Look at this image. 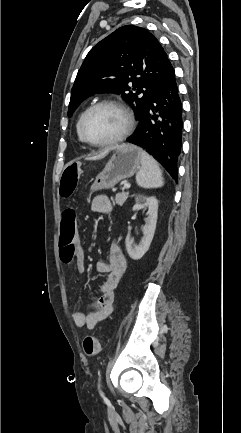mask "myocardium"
<instances>
[{
    "label": "myocardium",
    "mask_w": 241,
    "mask_h": 433,
    "mask_svg": "<svg viewBox=\"0 0 241 433\" xmlns=\"http://www.w3.org/2000/svg\"><path fill=\"white\" fill-rule=\"evenodd\" d=\"M105 106L113 107V108L117 109L123 115L124 128L119 135H117L115 138H113L111 140H108L105 142H92V141L88 140L84 134L85 121H86L88 115L92 111H94L97 108L105 107ZM132 127H133V119H132L131 113L129 112L127 107L123 103H121L120 101L105 99V100H101V101H98V102L92 104L90 107H88L83 112V114L81 115L80 120H79L78 131H79L80 139L84 143H86L90 146H93V147H109V146L116 145V144L122 142L123 140H125L128 137V135L130 134Z\"/></svg>",
    "instance_id": "1"
}]
</instances>
